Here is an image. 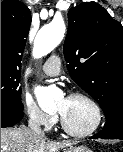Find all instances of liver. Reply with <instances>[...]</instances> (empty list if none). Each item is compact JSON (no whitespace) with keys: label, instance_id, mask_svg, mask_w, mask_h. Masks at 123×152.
<instances>
[{"label":"liver","instance_id":"1","mask_svg":"<svg viewBox=\"0 0 123 152\" xmlns=\"http://www.w3.org/2000/svg\"><path fill=\"white\" fill-rule=\"evenodd\" d=\"M73 144L47 140L26 127L1 129V152H59Z\"/></svg>","mask_w":123,"mask_h":152}]
</instances>
